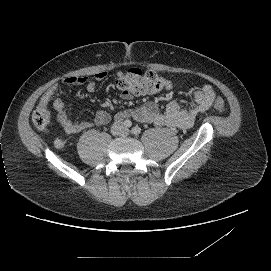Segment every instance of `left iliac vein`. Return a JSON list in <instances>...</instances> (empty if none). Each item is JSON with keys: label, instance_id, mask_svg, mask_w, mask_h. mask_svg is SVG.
I'll list each match as a JSON object with an SVG mask.
<instances>
[{"label": "left iliac vein", "instance_id": "1", "mask_svg": "<svg viewBox=\"0 0 271 271\" xmlns=\"http://www.w3.org/2000/svg\"><path fill=\"white\" fill-rule=\"evenodd\" d=\"M124 134H125V135H128V134H129V132H128V131H125V132H124Z\"/></svg>", "mask_w": 271, "mask_h": 271}]
</instances>
